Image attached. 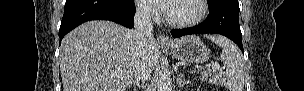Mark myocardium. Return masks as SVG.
<instances>
[{
    "mask_svg": "<svg viewBox=\"0 0 304 91\" xmlns=\"http://www.w3.org/2000/svg\"><path fill=\"white\" fill-rule=\"evenodd\" d=\"M196 1L199 5V13L197 14L196 17L189 20L178 21L171 19L168 16V14L165 13L166 21L168 22V24L177 28H188L202 22L208 12V1L207 0H196Z\"/></svg>",
    "mask_w": 304,
    "mask_h": 91,
    "instance_id": "f54148a6",
    "label": "myocardium"
}]
</instances>
